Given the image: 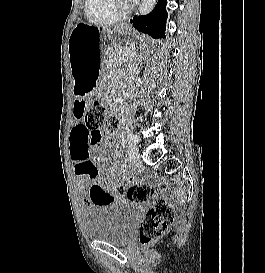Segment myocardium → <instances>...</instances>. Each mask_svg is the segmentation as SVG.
Here are the masks:
<instances>
[{
	"label": "myocardium",
	"instance_id": "1",
	"mask_svg": "<svg viewBox=\"0 0 265 273\" xmlns=\"http://www.w3.org/2000/svg\"><path fill=\"white\" fill-rule=\"evenodd\" d=\"M109 5L120 18L128 15L133 9L131 3H123L121 0H109Z\"/></svg>",
	"mask_w": 265,
	"mask_h": 273
}]
</instances>
